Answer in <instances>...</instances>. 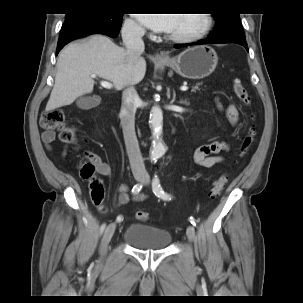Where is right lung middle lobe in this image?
Returning <instances> with one entry per match:
<instances>
[{"mask_svg":"<svg viewBox=\"0 0 303 303\" xmlns=\"http://www.w3.org/2000/svg\"><path fill=\"white\" fill-rule=\"evenodd\" d=\"M85 13L95 14V15H101V16L116 17V18H122L123 17V14H119V13H117V14H111V13H103V12L94 11V10H88ZM67 16H69V14Z\"/></svg>","mask_w":303,"mask_h":303,"instance_id":"1","label":"right lung middle lobe"}]
</instances>
